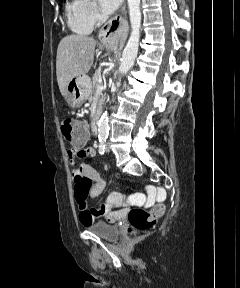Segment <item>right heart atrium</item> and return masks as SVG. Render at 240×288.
Listing matches in <instances>:
<instances>
[{"label":"right heart atrium","instance_id":"obj_1","mask_svg":"<svg viewBox=\"0 0 240 288\" xmlns=\"http://www.w3.org/2000/svg\"><path fill=\"white\" fill-rule=\"evenodd\" d=\"M85 2V11L88 18L93 22L96 23L101 20L102 15L97 4L94 0H84Z\"/></svg>","mask_w":240,"mask_h":288}]
</instances>
